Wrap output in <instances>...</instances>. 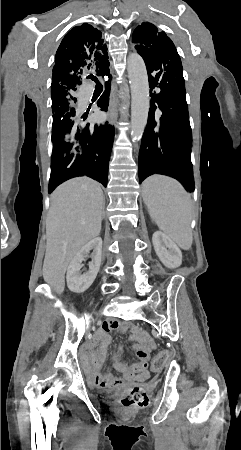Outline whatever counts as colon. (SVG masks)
I'll return each mask as SVG.
<instances>
[{"label": "colon", "instance_id": "5ec220e1", "mask_svg": "<svg viewBox=\"0 0 241 450\" xmlns=\"http://www.w3.org/2000/svg\"><path fill=\"white\" fill-rule=\"evenodd\" d=\"M168 356V353L164 351L160 356L156 357L152 362V370H161L164 363L168 361ZM119 403L125 409H143L148 406L149 398L145 390L139 387H133L120 394Z\"/></svg>", "mask_w": 241, "mask_h": 450}]
</instances>
